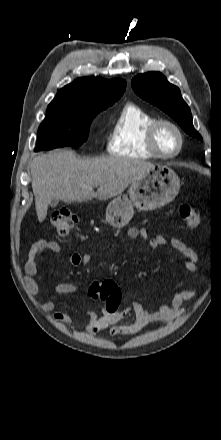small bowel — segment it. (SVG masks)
<instances>
[{"mask_svg": "<svg viewBox=\"0 0 221 440\" xmlns=\"http://www.w3.org/2000/svg\"><path fill=\"white\" fill-rule=\"evenodd\" d=\"M127 235L132 239L140 237L146 240L148 238L147 231L143 228L140 229L137 227L129 228ZM149 244L150 247L155 250L162 246H170L184 257L182 265L186 270L190 272H196L198 270V257L196 253L180 239H166L161 235H157L150 239ZM48 250L57 254H63L62 247L58 242L43 239L38 240L31 246L28 259L24 265V284L27 291L33 296H36L39 291L38 284L34 279L38 272L36 259L43 252ZM68 260L72 265L81 267L90 264L93 257L90 254L74 253L68 256ZM89 287L87 289L88 292ZM55 291L58 296L78 295L83 291V288L76 283L63 282L56 286ZM195 296V290L183 288L177 289L171 303L169 305H162L155 312L148 311L143 303L139 301H134L128 307L119 309L120 311L118 315H107L105 307L100 314L88 310L85 312L87 325L84 330L89 335H95L109 329L110 334L113 336H132L139 333L150 323L170 322L177 319L186 311L182 306L184 301L193 299ZM41 308L46 312H52L56 309V303L54 301L43 302L41 303ZM129 313L134 315V319L130 322H122L125 316ZM53 318L60 324H70L73 322L72 315L61 311L54 312Z\"/></svg>", "mask_w": 221, "mask_h": 440, "instance_id": "1", "label": "small bowel"}]
</instances>
